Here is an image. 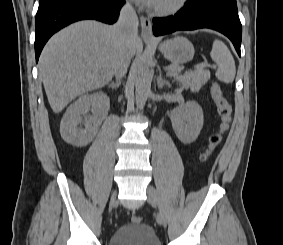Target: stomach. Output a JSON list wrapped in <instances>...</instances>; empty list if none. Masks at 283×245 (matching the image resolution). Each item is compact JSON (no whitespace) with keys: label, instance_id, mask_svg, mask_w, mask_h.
<instances>
[{"label":"stomach","instance_id":"obj_1","mask_svg":"<svg viewBox=\"0 0 283 245\" xmlns=\"http://www.w3.org/2000/svg\"><path fill=\"white\" fill-rule=\"evenodd\" d=\"M159 50L166 59L176 65L191 61L195 53L193 44L185 37L164 41L159 45Z\"/></svg>","mask_w":283,"mask_h":245}]
</instances>
